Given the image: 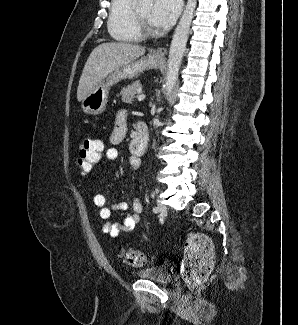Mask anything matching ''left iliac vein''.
I'll use <instances>...</instances> for the list:
<instances>
[{"label":"left iliac vein","mask_w":298,"mask_h":325,"mask_svg":"<svg viewBox=\"0 0 298 325\" xmlns=\"http://www.w3.org/2000/svg\"><path fill=\"white\" fill-rule=\"evenodd\" d=\"M157 208L161 216L165 217L167 215V208L161 200H157Z\"/></svg>","instance_id":"4c4485c4"}]
</instances>
